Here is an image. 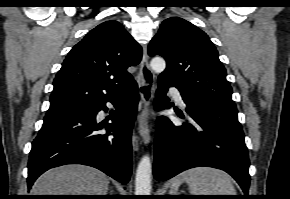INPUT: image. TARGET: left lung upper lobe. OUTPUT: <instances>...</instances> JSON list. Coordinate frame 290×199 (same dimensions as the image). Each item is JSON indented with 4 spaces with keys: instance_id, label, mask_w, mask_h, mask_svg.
<instances>
[{
    "instance_id": "1",
    "label": "left lung upper lobe",
    "mask_w": 290,
    "mask_h": 199,
    "mask_svg": "<svg viewBox=\"0 0 290 199\" xmlns=\"http://www.w3.org/2000/svg\"><path fill=\"white\" fill-rule=\"evenodd\" d=\"M150 56L161 55L167 67L159 76L183 94L235 106L226 70L209 37L190 22L166 19L148 46Z\"/></svg>"
}]
</instances>
